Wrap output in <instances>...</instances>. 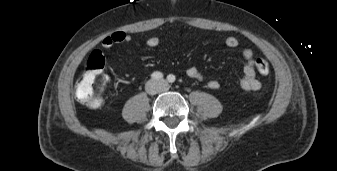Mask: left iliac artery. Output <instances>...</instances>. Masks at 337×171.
Masks as SVG:
<instances>
[{"instance_id":"44dca946","label":"left iliac artery","mask_w":337,"mask_h":171,"mask_svg":"<svg viewBox=\"0 0 337 171\" xmlns=\"http://www.w3.org/2000/svg\"><path fill=\"white\" fill-rule=\"evenodd\" d=\"M176 80L175 76L173 74H170L167 76V81L169 83H173Z\"/></svg>"}]
</instances>
